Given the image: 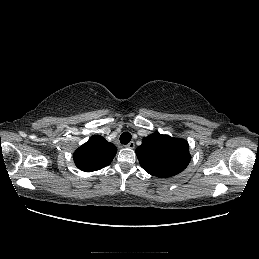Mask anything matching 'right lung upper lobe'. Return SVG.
I'll use <instances>...</instances> for the list:
<instances>
[{
	"label": "right lung upper lobe",
	"instance_id": "right-lung-upper-lobe-1",
	"mask_svg": "<svg viewBox=\"0 0 259 259\" xmlns=\"http://www.w3.org/2000/svg\"><path fill=\"white\" fill-rule=\"evenodd\" d=\"M116 152L114 144L100 135H94L74 152L73 159L80 170L92 172L108 166Z\"/></svg>",
	"mask_w": 259,
	"mask_h": 259
}]
</instances>
